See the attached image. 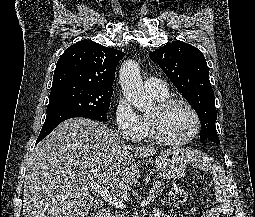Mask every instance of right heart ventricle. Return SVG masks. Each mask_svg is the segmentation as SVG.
<instances>
[{
	"instance_id": "obj_1",
	"label": "right heart ventricle",
	"mask_w": 255,
	"mask_h": 217,
	"mask_svg": "<svg viewBox=\"0 0 255 217\" xmlns=\"http://www.w3.org/2000/svg\"><path fill=\"white\" fill-rule=\"evenodd\" d=\"M158 102L164 100L167 98V93L163 94V95H159V94H152L150 93ZM143 121H144V125H145V133L144 135L147 137L151 136V130H150V124H149V115H144L142 116Z\"/></svg>"
}]
</instances>
